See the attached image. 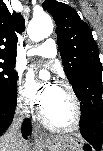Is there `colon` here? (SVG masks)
Instances as JSON below:
<instances>
[{
  "instance_id": "colon-1",
  "label": "colon",
  "mask_w": 103,
  "mask_h": 151,
  "mask_svg": "<svg viewBox=\"0 0 103 151\" xmlns=\"http://www.w3.org/2000/svg\"><path fill=\"white\" fill-rule=\"evenodd\" d=\"M84 151H92L90 148L86 147Z\"/></svg>"
}]
</instances>
